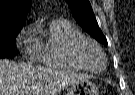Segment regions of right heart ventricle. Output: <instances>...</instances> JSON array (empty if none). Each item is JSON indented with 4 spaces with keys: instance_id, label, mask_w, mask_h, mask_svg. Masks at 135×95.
<instances>
[{
    "instance_id": "right-heart-ventricle-1",
    "label": "right heart ventricle",
    "mask_w": 135,
    "mask_h": 95,
    "mask_svg": "<svg viewBox=\"0 0 135 95\" xmlns=\"http://www.w3.org/2000/svg\"><path fill=\"white\" fill-rule=\"evenodd\" d=\"M35 32L41 31L38 42V62L47 68L82 70L69 55L70 43L83 34L68 20L56 19L42 27L38 25Z\"/></svg>"
}]
</instances>
